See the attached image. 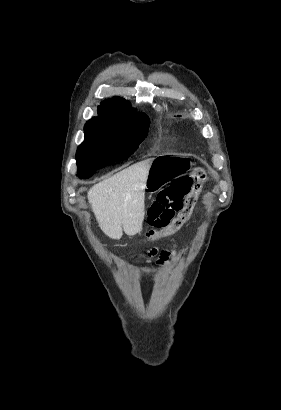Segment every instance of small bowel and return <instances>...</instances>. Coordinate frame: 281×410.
I'll return each mask as SVG.
<instances>
[{"label": "small bowel", "instance_id": "1", "mask_svg": "<svg viewBox=\"0 0 281 410\" xmlns=\"http://www.w3.org/2000/svg\"><path fill=\"white\" fill-rule=\"evenodd\" d=\"M178 255V252L173 249V250H161L158 251L157 249H151L148 253L149 259L147 262H150V259L156 258L157 263L160 266H163L167 263V261L172 258L176 257Z\"/></svg>", "mask_w": 281, "mask_h": 410}]
</instances>
